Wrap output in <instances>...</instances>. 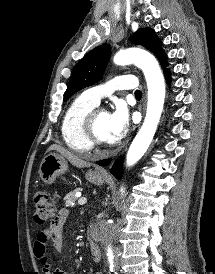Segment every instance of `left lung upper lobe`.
Wrapping results in <instances>:
<instances>
[{"mask_svg": "<svg viewBox=\"0 0 215 274\" xmlns=\"http://www.w3.org/2000/svg\"><path fill=\"white\" fill-rule=\"evenodd\" d=\"M134 44L142 45L153 52L161 62L162 67L168 65L166 55L161 48V41L155 32L149 28L138 29L131 37ZM110 56V45L103 44L83 57L73 70L64 101L77 91L88 87L101 79ZM167 69H165L166 71Z\"/></svg>", "mask_w": 215, "mask_h": 274, "instance_id": "obj_1", "label": "left lung upper lobe"}]
</instances>
